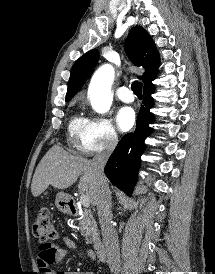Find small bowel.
Segmentation results:
<instances>
[{
	"label": "small bowel",
	"instance_id": "small-bowel-1",
	"mask_svg": "<svg viewBox=\"0 0 215 274\" xmlns=\"http://www.w3.org/2000/svg\"><path fill=\"white\" fill-rule=\"evenodd\" d=\"M62 242L64 243L65 247L54 244H40L38 253V265L40 272H45V274H94L93 272L53 271L52 266L54 264L61 262L71 252L80 249V246L73 239L66 235L62 236ZM84 251L92 261L96 260L95 253L91 249H85Z\"/></svg>",
	"mask_w": 215,
	"mask_h": 274
}]
</instances>
